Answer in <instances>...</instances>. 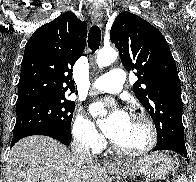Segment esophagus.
<instances>
[{
	"instance_id": "esophagus-1",
	"label": "esophagus",
	"mask_w": 196,
	"mask_h": 182,
	"mask_svg": "<svg viewBox=\"0 0 196 182\" xmlns=\"http://www.w3.org/2000/svg\"><path fill=\"white\" fill-rule=\"evenodd\" d=\"M103 14L100 9H95L92 14V22L95 25L101 26L102 25ZM104 165L107 167H118L119 165L115 162L105 161Z\"/></svg>"
}]
</instances>
